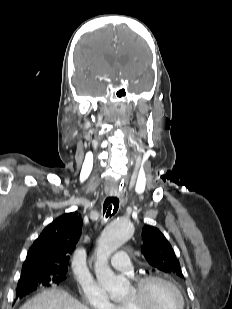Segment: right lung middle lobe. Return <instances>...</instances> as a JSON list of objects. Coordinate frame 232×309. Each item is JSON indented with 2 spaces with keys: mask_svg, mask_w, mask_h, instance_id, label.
<instances>
[{
  "mask_svg": "<svg viewBox=\"0 0 232 309\" xmlns=\"http://www.w3.org/2000/svg\"><path fill=\"white\" fill-rule=\"evenodd\" d=\"M66 278V272L55 270L22 272L17 288L21 286H51L59 284Z\"/></svg>",
  "mask_w": 232,
  "mask_h": 309,
  "instance_id": "right-lung-middle-lobe-1",
  "label": "right lung middle lobe"
}]
</instances>
